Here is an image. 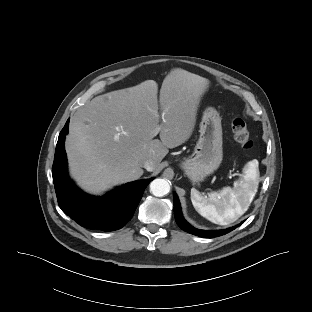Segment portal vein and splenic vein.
Segmentation results:
<instances>
[{
  "label": "portal vein and splenic vein",
  "mask_w": 312,
  "mask_h": 312,
  "mask_svg": "<svg viewBox=\"0 0 312 312\" xmlns=\"http://www.w3.org/2000/svg\"><path fill=\"white\" fill-rule=\"evenodd\" d=\"M160 131L159 127H156L153 131H152V137H155Z\"/></svg>",
  "instance_id": "1"
}]
</instances>
